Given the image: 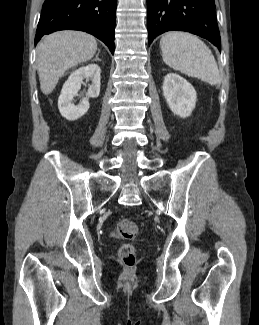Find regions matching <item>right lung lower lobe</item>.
<instances>
[{"label":"right lung lower lobe","instance_id":"right-lung-lower-lobe-1","mask_svg":"<svg viewBox=\"0 0 259 325\" xmlns=\"http://www.w3.org/2000/svg\"><path fill=\"white\" fill-rule=\"evenodd\" d=\"M117 0H45L35 36L58 30H80L103 41L114 53Z\"/></svg>","mask_w":259,"mask_h":325}]
</instances>
